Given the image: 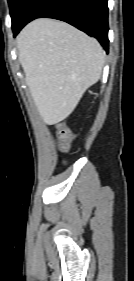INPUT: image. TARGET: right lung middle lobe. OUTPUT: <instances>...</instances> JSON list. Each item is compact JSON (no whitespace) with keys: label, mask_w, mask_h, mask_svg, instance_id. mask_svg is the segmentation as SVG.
Masks as SVG:
<instances>
[{"label":"right lung middle lobe","mask_w":134,"mask_h":281,"mask_svg":"<svg viewBox=\"0 0 134 281\" xmlns=\"http://www.w3.org/2000/svg\"><path fill=\"white\" fill-rule=\"evenodd\" d=\"M13 31L19 27L30 0H8Z\"/></svg>","instance_id":"dd1d6c3e"}]
</instances>
